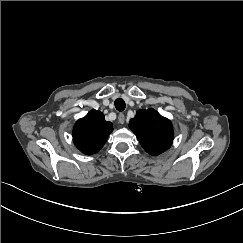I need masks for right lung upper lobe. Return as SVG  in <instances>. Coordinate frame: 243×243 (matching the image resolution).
<instances>
[{
	"label": "right lung upper lobe",
	"mask_w": 243,
	"mask_h": 243,
	"mask_svg": "<svg viewBox=\"0 0 243 243\" xmlns=\"http://www.w3.org/2000/svg\"><path fill=\"white\" fill-rule=\"evenodd\" d=\"M112 130V123L105 120L102 112L91 110L76 122L73 128V141L82 153L95 154L103 147Z\"/></svg>",
	"instance_id": "right-lung-upper-lobe-1"
}]
</instances>
